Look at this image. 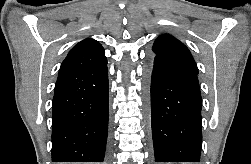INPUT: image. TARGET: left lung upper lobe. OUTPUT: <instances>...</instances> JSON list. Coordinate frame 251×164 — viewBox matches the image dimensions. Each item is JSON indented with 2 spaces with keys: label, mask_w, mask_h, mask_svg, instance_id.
Here are the masks:
<instances>
[{
  "label": "left lung upper lobe",
  "mask_w": 251,
  "mask_h": 164,
  "mask_svg": "<svg viewBox=\"0 0 251 164\" xmlns=\"http://www.w3.org/2000/svg\"><path fill=\"white\" fill-rule=\"evenodd\" d=\"M152 58L165 59L198 73L197 65L188 48L169 34L157 37L152 47Z\"/></svg>",
  "instance_id": "5c2ea615"
}]
</instances>
